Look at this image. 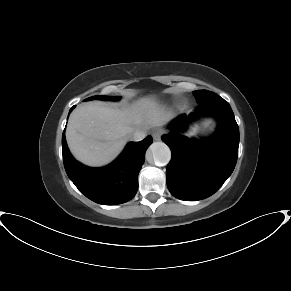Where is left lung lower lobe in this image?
I'll list each match as a JSON object with an SVG mask.
<instances>
[{
	"label": "left lung lower lobe",
	"instance_id": "left-lung-lower-lobe-1",
	"mask_svg": "<svg viewBox=\"0 0 291 291\" xmlns=\"http://www.w3.org/2000/svg\"><path fill=\"white\" fill-rule=\"evenodd\" d=\"M199 103L195 115H213L218 120L212 137L198 141L182 135L188 127L186 115L172 121L168 126L171 132L162 136L172 152L166 169L168 189L173 196L185 201L201 200L214 194L237 162L239 128L229 103L217 94Z\"/></svg>",
	"mask_w": 291,
	"mask_h": 291
}]
</instances>
